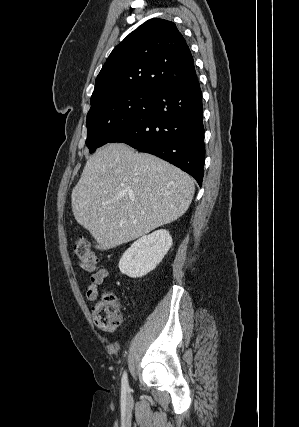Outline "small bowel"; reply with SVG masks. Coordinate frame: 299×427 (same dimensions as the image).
<instances>
[{"instance_id": "c3829d8e", "label": "small bowel", "mask_w": 299, "mask_h": 427, "mask_svg": "<svg viewBox=\"0 0 299 427\" xmlns=\"http://www.w3.org/2000/svg\"><path fill=\"white\" fill-rule=\"evenodd\" d=\"M83 268L88 272H92L90 282L86 290V299L89 302H94L98 297V288L108 277L109 272L106 268H100L97 270L93 266H83Z\"/></svg>"}]
</instances>
